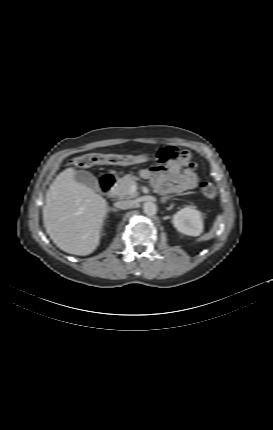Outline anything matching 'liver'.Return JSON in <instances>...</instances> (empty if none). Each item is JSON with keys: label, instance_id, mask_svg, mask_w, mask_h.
Wrapping results in <instances>:
<instances>
[{"label": "liver", "instance_id": "1", "mask_svg": "<svg viewBox=\"0 0 273 430\" xmlns=\"http://www.w3.org/2000/svg\"><path fill=\"white\" fill-rule=\"evenodd\" d=\"M75 173L73 167L67 168L50 185L43 207V223L57 247L86 256L99 245L108 203L77 182Z\"/></svg>", "mask_w": 273, "mask_h": 430}]
</instances>
